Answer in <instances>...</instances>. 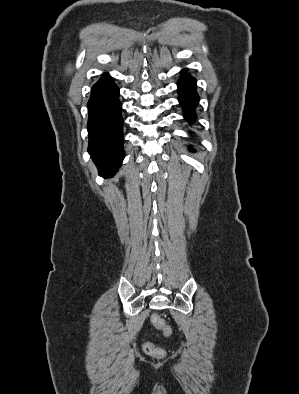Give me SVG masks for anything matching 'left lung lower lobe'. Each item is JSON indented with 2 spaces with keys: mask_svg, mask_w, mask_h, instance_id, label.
Returning a JSON list of instances; mask_svg holds the SVG:
<instances>
[{
  "mask_svg": "<svg viewBox=\"0 0 299 394\" xmlns=\"http://www.w3.org/2000/svg\"><path fill=\"white\" fill-rule=\"evenodd\" d=\"M179 102L184 109V117L189 123L196 118L195 108L198 105L199 96L196 92V79L189 74H183L178 82ZM193 150L192 148H190Z\"/></svg>",
  "mask_w": 299,
  "mask_h": 394,
  "instance_id": "left-lung-lower-lobe-1",
  "label": "left lung lower lobe"
}]
</instances>
